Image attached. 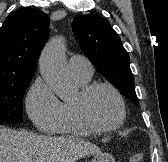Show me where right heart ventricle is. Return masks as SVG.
I'll return each mask as SVG.
<instances>
[{
	"mask_svg": "<svg viewBox=\"0 0 168 162\" xmlns=\"http://www.w3.org/2000/svg\"><path fill=\"white\" fill-rule=\"evenodd\" d=\"M80 86H84L89 83L90 80H81L75 78ZM63 108V118L61 123L57 126L55 130L52 131L54 134L58 135H87L91 131L81 125L77 120L71 101H65L62 103Z\"/></svg>",
	"mask_w": 168,
	"mask_h": 162,
	"instance_id": "1",
	"label": "right heart ventricle"
}]
</instances>
